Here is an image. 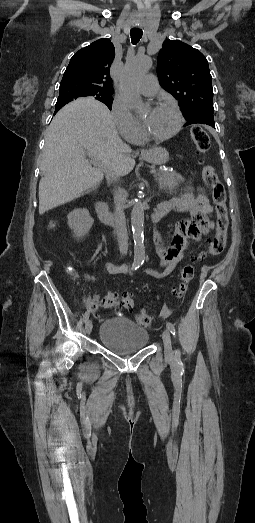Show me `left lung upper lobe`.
Instances as JSON below:
<instances>
[{
	"label": "left lung upper lobe",
	"instance_id": "1",
	"mask_svg": "<svg viewBox=\"0 0 255 523\" xmlns=\"http://www.w3.org/2000/svg\"><path fill=\"white\" fill-rule=\"evenodd\" d=\"M160 85L179 100L190 124L215 128L212 77L208 61L197 49L179 41L166 40L158 54Z\"/></svg>",
	"mask_w": 255,
	"mask_h": 523
}]
</instances>
